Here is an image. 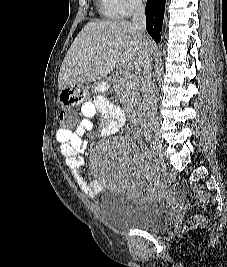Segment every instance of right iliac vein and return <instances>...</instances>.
<instances>
[{
	"instance_id": "obj_1",
	"label": "right iliac vein",
	"mask_w": 227,
	"mask_h": 267,
	"mask_svg": "<svg viewBox=\"0 0 227 267\" xmlns=\"http://www.w3.org/2000/svg\"><path fill=\"white\" fill-rule=\"evenodd\" d=\"M149 143L152 149L156 152L160 160H164V150L161 141L156 136L149 137Z\"/></svg>"
}]
</instances>
